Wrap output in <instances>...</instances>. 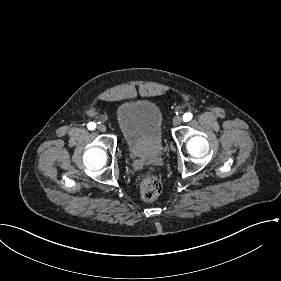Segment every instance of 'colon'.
I'll use <instances>...</instances> for the list:
<instances>
[{"label": "colon", "instance_id": "obj_1", "mask_svg": "<svg viewBox=\"0 0 281 281\" xmlns=\"http://www.w3.org/2000/svg\"><path fill=\"white\" fill-rule=\"evenodd\" d=\"M162 189V182L153 172H147L140 182V190L144 200L157 198Z\"/></svg>", "mask_w": 281, "mask_h": 281}]
</instances>
